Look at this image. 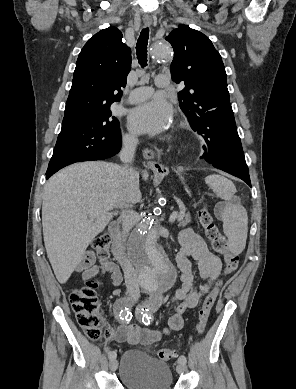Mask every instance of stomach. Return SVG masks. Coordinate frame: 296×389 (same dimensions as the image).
I'll list each match as a JSON object with an SVG mask.
<instances>
[{
  "mask_svg": "<svg viewBox=\"0 0 296 389\" xmlns=\"http://www.w3.org/2000/svg\"><path fill=\"white\" fill-rule=\"evenodd\" d=\"M153 182L157 186H162L166 182L167 172L163 168H158L152 172Z\"/></svg>",
  "mask_w": 296,
  "mask_h": 389,
  "instance_id": "1",
  "label": "stomach"
}]
</instances>
